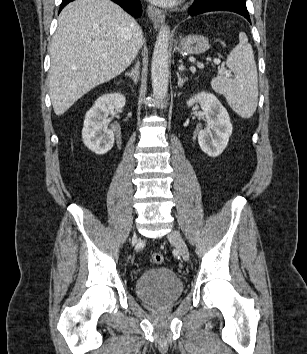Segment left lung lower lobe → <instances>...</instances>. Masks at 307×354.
Returning a JSON list of instances; mask_svg holds the SVG:
<instances>
[{
    "label": "left lung lower lobe",
    "instance_id": "0a47b994",
    "mask_svg": "<svg viewBox=\"0 0 307 354\" xmlns=\"http://www.w3.org/2000/svg\"><path fill=\"white\" fill-rule=\"evenodd\" d=\"M210 11L235 12L251 22L245 0H195L189 8L191 16Z\"/></svg>",
    "mask_w": 307,
    "mask_h": 354
}]
</instances>
